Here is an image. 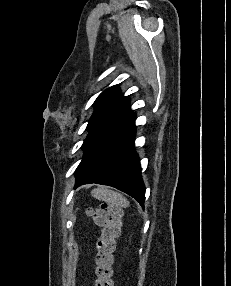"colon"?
I'll list each match as a JSON object with an SVG mask.
<instances>
[{
  "instance_id": "colon-1",
  "label": "colon",
  "mask_w": 231,
  "mask_h": 286,
  "mask_svg": "<svg viewBox=\"0 0 231 286\" xmlns=\"http://www.w3.org/2000/svg\"><path fill=\"white\" fill-rule=\"evenodd\" d=\"M89 216L101 228L96 242V275L95 286H113L112 265L115 241L120 233L121 210L111 203H102L88 210Z\"/></svg>"
}]
</instances>
